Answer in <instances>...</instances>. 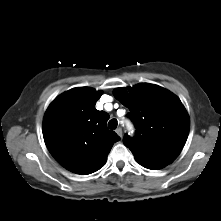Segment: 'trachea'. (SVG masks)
<instances>
[{
    "label": "trachea",
    "instance_id": "trachea-1",
    "mask_svg": "<svg viewBox=\"0 0 221 221\" xmlns=\"http://www.w3.org/2000/svg\"><path fill=\"white\" fill-rule=\"evenodd\" d=\"M117 125H118V122L116 119H111L109 122H108V127L109 129H116L117 128Z\"/></svg>",
    "mask_w": 221,
    "mask_h": 221
}]
</instances>
